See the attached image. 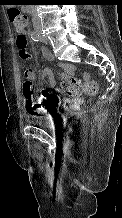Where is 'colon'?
Wrapping results in <instances>:
<instances>
[{
    "mask_svg": "<svg viewBox=\"0 0 122 218\" xmlns=\"http://www.w3.org/2000/svg\"><path fill=\"white\" fill-rule=\"evenodd\" d=\"M8 16L11 23L14 25L18 32L24 31L28 24V17L23 14L17 8H10L8 10ZM17 47L19 48V55L23 60H27L30 57L29 52L26 50L27 41L20 34L16 39ZM24 80L22 84L23 93L25 96L24 106L27 112L30 114L36 113V108L34 106V96H33V84L32 80L29 78V71L25 70L23 73ZM62 85L64 90L72 96H79L82 93L94 94L97 91V86L93 81H87L82 83L81 80L73 77H68L62 80Z\"/></svg>",
    "mask_w": 122,
    "mask_h": 218,
    "instance_id": "5ec220e1",
    "label": "colon"
}]
</instances>
